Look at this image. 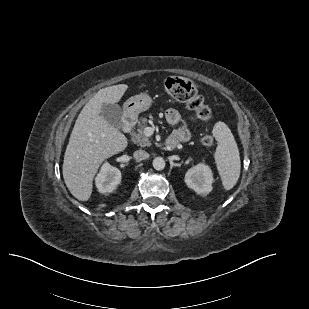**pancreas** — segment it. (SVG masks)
<instances>
[{"label":"pancreas","mask_w":309,"mask_h":309,"mask_svg":"<svg viewBox=\"0 0 309 309\" xmlns=\"http://www.w3.org/2000/svg\"><path fill=\"white\" fill-rule=\"evenodd\" d=\"M140 121L141 122L138 123L137 129L131 132L132 141L141 147L150 146V140L144 134V128L146 127L147 119L141 118Z\"/></svg>","instance_id":"obj_1"}]
</instances>
